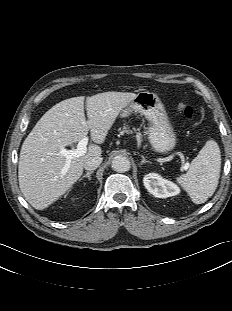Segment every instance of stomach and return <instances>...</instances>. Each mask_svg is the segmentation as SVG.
Segmentation results:
<instances>
[{"mask_svg":"<svg viewBox=\"0 0 232 311\" xmlns=\"http://www.w3.org/2000/svg\"><path fill=\"white\" fill-rule=\"evenodd\" d=\"M133 112L144 115L148 120L147 136L154 151L168 153L175 148L177 139L174 129L163 103L155 93L139 92L129 103V107L122 111L121 116H129Z\"/></svg>","mask_w":232,"mask_h":311,"instance_id":"1","label":"stomach"}]
</instances>
